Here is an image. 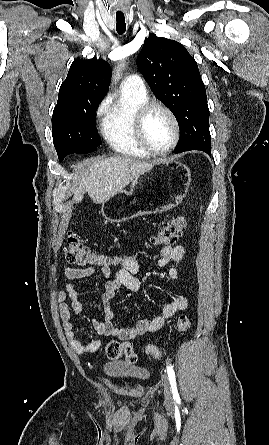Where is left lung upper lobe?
<instances>
[{
  "label": "left lung upper lobe",
  "mask_w": 269,
  "mask_h": 445,
  "mask_svg": "<svg viewBox=\"0 0 269 445\" xmlns=\"http://www.w3.org/2000/svg\"><path fill=\"white\" fill-rule=\"evenodd\" d=\"M137 66L155 96L178 121L181 138L175 153L202 150L210 155L205 85L186 48L174 40L150 34L137 57Z\"/></svg>",
  "instance_id": "obj_1"
}]
</instances>
